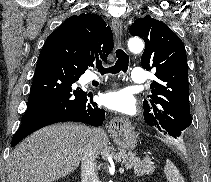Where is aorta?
Wrapping results in <instances>:
<instances>
[{
  "mask_svg": "<svg viewBox=\"0 0 211 182\" xmlns=\"http://www.w3.org/2000/svg\"><path fill=\"white\" fill-rule=\"evenodd\" d=\"M128 48L133 53H139L143 50L144 43L142 39L134 37V38L129 39Z\"/></svg>",
  "mask_w": 211,
  "mask_h": 182,
  "instance_id": "1",
  "label": "aorta"
}]
</instances>
